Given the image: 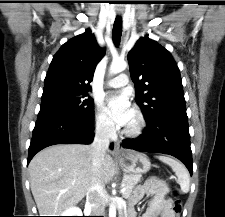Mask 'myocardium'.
<instances>
[{"label": "myocardium", "instance_id": "myocardium-1", "mask_svg": "<svg viewBox=\"0 0 225 217\" xmlns=\"http://www.w3.org/2000/svg\"><path fill=\"white\" fill-rule=\"evenodd\" d=\"M133 122L125 127L123 133L131 138H136L140 136L146 126V120L141 112V110L137 107L132 110Z\"/></svg>", "mask_w": 225, "mask_h": 217}]
</instances>
